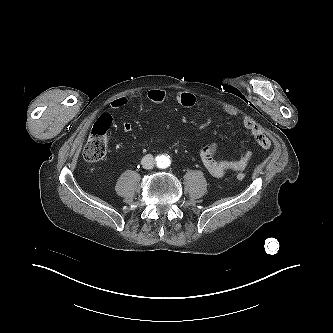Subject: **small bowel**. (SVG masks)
Returning <instances> with one entry per match:
<instances>
[{"label":"small bowel","instance_id":"small-bowel-1","mask_svg":"<svg viewBox=\"0 0 333 333\" xmlns=\"http://www.w3.org/2000/svg\"><path fill=\"white\" fill-rule=\"evenodd\" d=\"M167 94L163 89H152L143 93H137L130 97H119L111 102L113 109H119L129 105L133 100L142 101L144 99L153 103H162L165 101ZM176 101L179 105L184 107H193L196 104V96L188 91H180L176 96ZM225 112L229 115H235L234 110L225 108ZM242 124L255 139L257 145L261 150H266L271 146L270 139L265 135L262 128L250 117L245 116L242 120ZM123 129L126 132L133 130L134 126L130 122H123ZM217 146L214 143L206 144L202 146L199 151V158L203 163L207 171L216 178H222L229 173H236L243 171L248 165L253 156L251 150H246L239 158L231 161H218L215 158Z\"/></svg>","mask_w":333,"mask_h":333}]
</instances>
